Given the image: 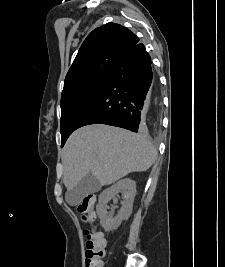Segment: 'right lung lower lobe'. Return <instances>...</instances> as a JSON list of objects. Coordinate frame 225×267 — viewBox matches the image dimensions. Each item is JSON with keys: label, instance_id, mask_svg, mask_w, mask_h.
<instances>
[{"label": "right lung lower lobe", "instance_id": "obj_1", "mask_svg": "<svg viewBox=\"0 0 225 267\" xmlns=\"http://www.w3.org/2000/svg\"><path fill=\"white\" fill-rule=\"evenodd\" d=\"M156 84L151 57L145 46L138 43L120 55L75 130L101 123L138 132L141 110Z\"/></svg>", "mask_w": 225, "mask_h": 267}]
</instances>
